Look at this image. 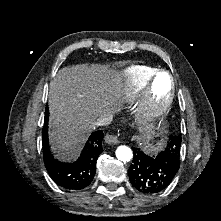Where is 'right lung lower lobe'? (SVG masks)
Masks as SVG:
<instances>
[{"mask_svg":"<svg viewBox=\"0 0 221 221\" xmlns=\"http://www.w3.org/2000/svg\"><path fill=\"white\" fill-rule=\"evenodd\" d=\"M48 109H46L44 127L42 131L43 138V159L48 173L54 182L69 190H80L87 187L96 173V161L103 152L102 131L93 132L79 159L74 163H63L53 157L49 149L48 142Z\"/></svg>","mask_w":221,"mask_h":221,"instance_id":"right-lung-lower-lobe-1","label":"right lung lower lobe"}]
</instances>
